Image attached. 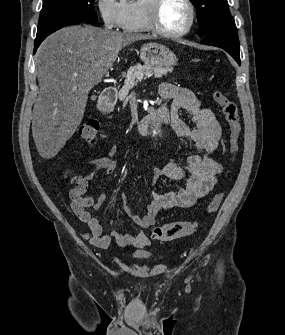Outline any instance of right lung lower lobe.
I'll list each match as a JSON object with an SVG mask.
<instances>
[{
    "instance_id": "98d812e1",
    "label": "right lung lower lobe",
    "mask_w": 285,
    "mask_h": 335,
    "mask_svg": "<svg viewBox=\"0 0 285 335\" xmlns=\"http://www.w3.org/2000/svg\"><path fill=\"white\" fill-rule=\"evenodd\" d=\"M84 21L81 20H65L59 23H56L55 25L51 26L50 28L42 31V32H37L36 35V39H35V44H34V54L37 50V48L39 47V45L41 44V42L51 33H53L56 30H59L69 24H73V23H81Z\"/></svg>"
}]
</instances>
